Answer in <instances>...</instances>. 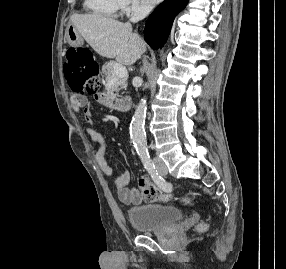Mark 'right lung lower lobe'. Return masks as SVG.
Wrapping results in <instances>:
<instances>
[{"instance_id":"98d812e1","label":"right lung lower lobe","mask_w":286,"mask_h":269,"mask_svg":"<svg viewBox=\"0 0 286 269\" xmlns=\"http://www.w3.org/2000/svg\"><path fill=\"white\" fill-rule=\"evenodd\" d=\"M188 0H166L148 18L145 27V40L158 49L166 42L175 16L185 8Z\"/></svg>"}]
</instances>
